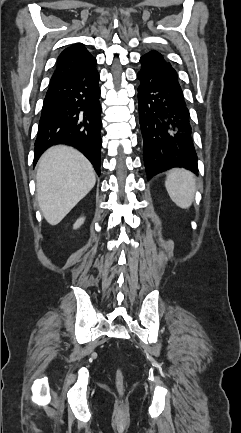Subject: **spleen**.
<instances>
[{"mask_svg":"<svg viewBox=\"0 0 241 433\" xmlns=\"http://www.w3.org/2000/svg\"><path fill=\"white\" fill-rule=\"evenodd\" d=\"M166 190L171 200L180 208L188 209L194 200L196 190L194 175L186 169H172L166 181Z\"/></svg>","mask_w":241,"mask_h":433,"instance_id":"obj_1","label":"spleen"}]
</instances>
